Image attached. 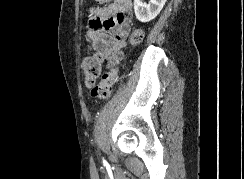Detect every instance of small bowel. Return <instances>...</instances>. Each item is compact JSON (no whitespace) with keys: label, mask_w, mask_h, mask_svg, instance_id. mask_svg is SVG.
<instances>
[{"label":"small bowel","mask_w":244,"mask_h":179,"mask_svg":"<svg viewBox=\"0 0 244 179\" xmlns=\"http://www.w3.org/2000/svg\"><path fill=\"white\" fill-rule=\"evenodd\" d=\"M127 0H119L104 7L93 8L90 12L86 40L92 48L100 49L108 62L114 66L122 57L125 38L130 32L126 14Z\"/></svg>","instance_id":"c3829d8e"}]
</instances>
